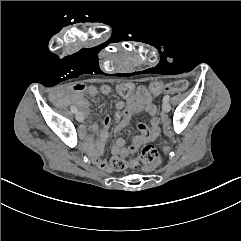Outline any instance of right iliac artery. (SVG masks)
<instances>
[{
    "mask_svg": "<svg viewBox=\"0 0 241 241\" xmlns=\"http://www.w3.org/2000/svg\"><path fill=\"white\" fill-rule=\"evenodd\" d=\"M71 111L73 112V113H76L77 112V108H75L74 106H71Z\"/></svg>",
    "mask_w": 241,
    "mask_h": 241,
    "instance_id": "1",
    "label": "right iliac artery"
}]
</instances>
